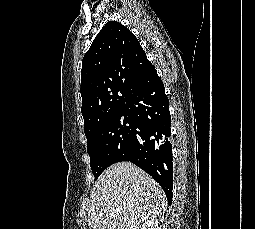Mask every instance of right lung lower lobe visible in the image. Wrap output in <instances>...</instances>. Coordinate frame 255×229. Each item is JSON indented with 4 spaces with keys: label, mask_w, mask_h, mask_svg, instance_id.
<instances>
[{
    "label": "right lung lower lobe",
    "mask_w": 255,
    "mask_h": 229,
    "mask_svg": "<svg viewBox=\"0 0 255 229\" xmlns=\"http://www.w3.org/2000/svg\"><path fill=\"white\" fill-rule=\"evenodd\" d=\"M123 112L134 122L130 161L151 175L164 190L169 205L173 196V158L168 98L156 69L144 74Z\"/></svg>",
    "instance_id": "right-lung-lower-lobe-1"
}]
</instances>
